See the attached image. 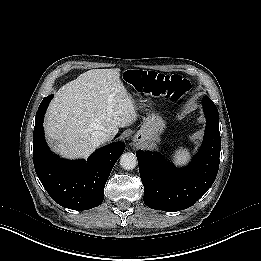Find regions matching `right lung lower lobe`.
<instances>
[{"label": "right lung lower lobe", "mask_w": 261, "mask_h": 261, "mask_svg": "<svg viewBox=\"0 0 261 261\" xmlns=\"http://www.w3.org/2000/svg\"><path fill=\"white\" fill-rule=\"evenodd\" d=\"M53 95L45 97L36 113L33 134L34 167L38 178L51 198L72 210H87L100 205L104 186L125 144L114 142L88 159L68 161L54 155L48 148L43 129L45 111Z\"/></svg>", "instance_id": "right-lung-lower-lobe-1"}]
</instances>
